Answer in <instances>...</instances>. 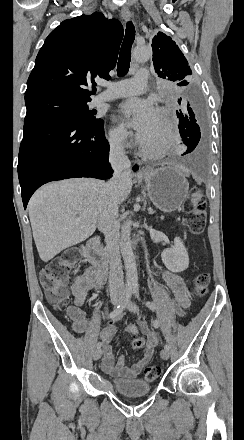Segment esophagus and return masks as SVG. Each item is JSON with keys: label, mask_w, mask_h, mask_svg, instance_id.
Segmentation results:
<instances>
[{"label": "esophagus", "mask_w": 244, "mask_h": 440, "mask_svg": "<svg viewBox=\"0 0 244 440\" xmlns=\"http://www.w3.org/2000/svg\"><path fill=\"white\" fill-rule=\"evenodd\" d=\"M121 17H122L124 20H130V18H131V12H130V10H129L128 7H122V9H121ZM150 168H152V167L149 166V165H146L145 167L142 168V171H143L144 173H146V172H148V170H149Z\"/></svg>", "instance_id": "esophagus-1"}]
</instances>
